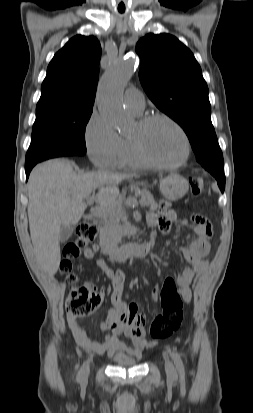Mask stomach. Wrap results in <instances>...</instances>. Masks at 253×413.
I'll return each instance as SVG.
<instances>
[{"label": "stomach", "mask_w": 253, "mask_h": 413, "mask_svg": "<svg viewBox=\"0 0 253 413\" xmlns=\"http://www.w3.org/2000/svg\"><path fill=\"white\" fill-rule=\"evenodd\" d=\"M188 190V181L179 174H170L160 181V192L170 201L181 199Z\"/></svg>", "instance_id": "1"}]
</instances>
